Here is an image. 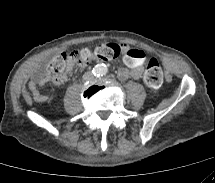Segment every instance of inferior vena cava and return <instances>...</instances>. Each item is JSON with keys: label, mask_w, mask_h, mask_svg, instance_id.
<instances>
[{"label": "inferior vena cava", "mask_w": 215, "mask_h": 183, "mask_svg": "<svg viewBox=\"0 0 215 183\" xmlns=\"http://www.w3.org/2000/svg\"><path fill=\"white\" fill-rule=\"evenodd\" d=\"M90 77H92V73H90V72L85 73L84 76H83L84 79H87V78H90Z\"/></svg>", "instance_id": "obj_1"}]
</instances>
